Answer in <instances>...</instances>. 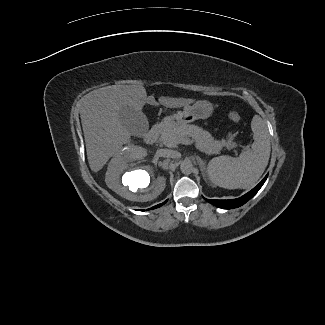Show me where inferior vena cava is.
Segmentation results:
<instances>
[{"label":"inferior vena cava","mask_w":325,"mask_h":325,"mask_svg":"<svg viewBox=\"0 0 325 325\" xmlns=\"http://www.w3.org/2000/svg\"><path fill=\"white\" fill-rule=\"evenodd\" d=\"M156 155L159 157L175 158L177 156V152L170 149H159L156 151Z\"/></svg>","instance_id":"602c4592"}]
</instances>
